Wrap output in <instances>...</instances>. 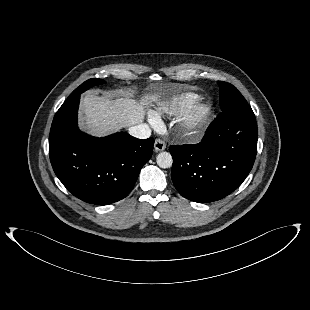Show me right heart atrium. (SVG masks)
I'll return each mask as SVG.
<instances>
[{"instance_id": "d8ad5b80", "label": "right heart atrium", "mask_w": 310, "mask_h": 310, "mask_svg": "<svg viewBox=\"0 0 310 310\" xmlns=\"http://www.w3.org/2000/svg\"><path fill=\"white\" fill-rule=\"evenodd\" d=\"M152 119H151V122H152V124L154 125V126H158V125H160V120L158 119V117L157 118H155V117H151Z\"/></svg>"}]
</instances>
